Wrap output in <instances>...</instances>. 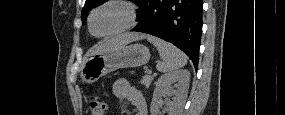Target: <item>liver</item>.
Returning a JSON list of instances; mask_svg holds the SVG:
<instances>
[{
  "mask_svg": "<svg viewBox=\"0 0 285 115\" xmlns=\"http://www.w3.org/2000/svg\"><path fill=\"white\" fill-rule=\"evenodd\" d=\"M146 37L145 34L139 33H125L119 36H116L111 39L104 40L99 45L95 46L91 52V54H102L110 52L114 49L123 47L130 42L144 39Z\"/></svg>",
  "mask_w": 285,
  "mask_h": 115,
  "instance_id": "6515ba94",
  "label": "liver"
}]
</instances>
